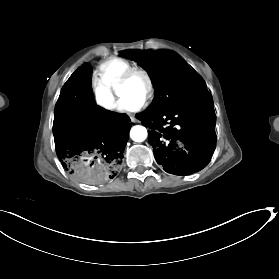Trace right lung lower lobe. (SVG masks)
Segmentation results:
<instances>
[{
  "instance_id": "right-lung-lower-lobe-1",
  "label": "right lung lower lobe",
  "mask_w": 279,
  "mask_h": 279,
  "mask_svg": "<svg viewBox=\"0 0 279 279\" xmlns=\"http://www.w3.org/2000/svg\"><path fill=\"white\" fill-rule=\"evenodd\" d=\"M91 68L84 63L62 87L53 134L63 168L82 182L100 185L119 174L131 124L126 114L96 105L90 94Z\"/></svg>"
}]
</instances>
